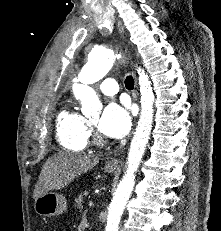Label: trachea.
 <instances>
[{
    "label": "trachea",
    "mask_w": 221,
    "mask_h": 231,
    "mask_svg": "<svg viewBox=\"0 0 221 231\" xmlns=\"http://www.w3.org/2000/svg\"><path fill=\"white\" fill-rule=\"evenodd\" d=\"M125 87L128 89V90H132L134 88V79L132 76H128L126 79H125Z\"/></svg>",
    "instance_id": "3493384b"
}]
</instances>
